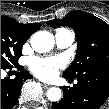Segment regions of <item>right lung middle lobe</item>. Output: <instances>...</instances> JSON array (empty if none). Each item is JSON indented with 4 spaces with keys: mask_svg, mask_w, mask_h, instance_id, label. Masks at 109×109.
<instances>
[{
    "mask_svg": "<svg viewBox=\"0 0 109 109\" xmlns=\"http://www.w3.org/2000/svg\"><path fill=\"white\" fill-rule=\"evenodd\" d=\"M26 40L11 29L1 27V68L17 64Z\"/></svg>",
    "mask_w": 109,
    "mask_h": 109,
    "instance_id": "dd1d6c3e",
    "label": "right lung middle lobe"
}]
</instances>
